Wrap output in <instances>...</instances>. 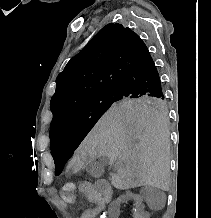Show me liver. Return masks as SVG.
Segmentation results:
<instances>
[{
  "instance_id": "1",
  "label": "liver",
  "mask_w": 211,
  "mask_h": 218,
  "mask_svg": "<svg viewBox=\"0 0 211 218\" xmlns=\"http://www.w3.org/2000/svg\"><path fill=\"white\" fill-rule=\"evenodd\" d=\"M122 162L112 186L128 190L153 186L168 192L169 132L164 116L150 108L113 104L80 144L72 162L81 170L87 158Z\"/></svg>"
}]
</instances>
